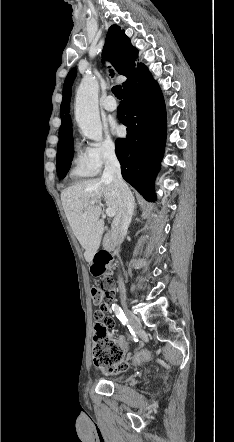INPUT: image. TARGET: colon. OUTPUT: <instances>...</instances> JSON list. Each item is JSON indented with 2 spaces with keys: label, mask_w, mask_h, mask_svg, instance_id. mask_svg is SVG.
<instances>
[{
  "label": "colon",
  "mask_w": 234,
  "mask_h": 442,
  "mask_svg": "<svg viewBox=\"0 0 234 442\" xmlns=\"http://www.w3.org/2000/svg\"><path fill=\"white\" fill-rule=\"evenodd\" d=\"M112 257L109 253H98L92 265L93 274L100 279V285L91 290V297L95 304L106 314L105 309L114 299L116 285L109 269ZM108 331H94L93 336V363L94 366L107 374H117L127 369L129 360L136 365L149 361L153 350L150 347H140L127 355L123 360V349L118 340L112 338Z\"/></svg>",
  "instance_id": "5ec220e1"
}]
</instances>
